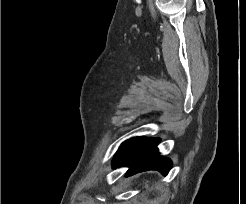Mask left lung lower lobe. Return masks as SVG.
<instances>
[{
  "mask_svg": "<svg viewBox=\"0 0 246 204\" xmlns=\"http://www.w3.org/2000/svg\"><path fill=\"white\" fill-rule=\"evenodd\" d=\"M159 142V138L145 137H135L125 141L114 156L113 167H129L126 176L147 170H157L167 175L172 162L168 158L159 156L156 147Z\"/></svg>",
  "mask_w": 246,
  "mask_h": 204,
  "instance_id": "1",
  "label": "left lung lower lobe"
}]
</instances>
